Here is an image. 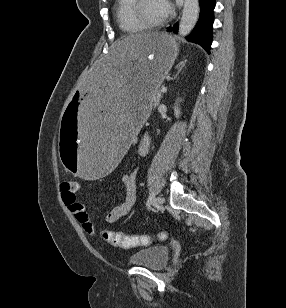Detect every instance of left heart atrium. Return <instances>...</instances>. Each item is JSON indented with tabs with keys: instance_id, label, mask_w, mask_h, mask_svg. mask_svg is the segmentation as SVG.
I'll list each match as a JSON object with an SVG mask.
<instances>
[{
	"instance_id": "obj_1",
	"label": "left heart atrium",
	"mask_w": 286,
	"mask_h": 308,
	"mask_svg": "<svg viewBox=\"0 0 286 308\" xmlns=\"http://www.w3.org/2000/svg\"><path fill=\"white\" fill-rule=\"evenodd\" d=\"M163 2H164V5H165L166 13H167V15H168L169 12H170V5H169V3L167 2V0H163Z\"/></svg>"
}]
</instances>
